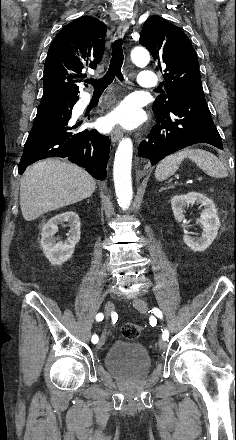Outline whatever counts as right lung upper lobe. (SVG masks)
Segmentation results:
<instances>
[{
  "mask_svg": "<svg viewBox=\"0 0 236 440\" xmlns=\"http://www.w3.org/2000/svg\"><path fill=\"white\" fill-rule=\"evenodd\" d=\"M107 27L91 16H82L64 26L53 39L44 65L41 104L78 99V83L86 70L102 60Z\"/></svg>",
  "mask_w": 236,
  "mask_h": 440,
  "instance_id": "obj_1",
  "label": "right lung upper lobe"
}]
</instances>
